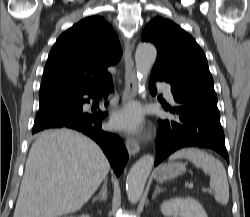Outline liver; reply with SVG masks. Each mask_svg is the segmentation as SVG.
Returning <instances> with one entry per match:
<instances>
[{"instance_id": "1", "label": "liver", "mask_w": 250, "mask_h": 217, "mask_svg": "<svg viewBox=\"0 0 250 217\" xmlns=\"http://www.w3.org/2000/svg\"><path fill=\"white\" fill-rule=\"evenodd\" d=\"M110 170L100 147L68 129L46 130L31 146L13 217H58L76 212Z\"/></svg>"}]
</instances>
